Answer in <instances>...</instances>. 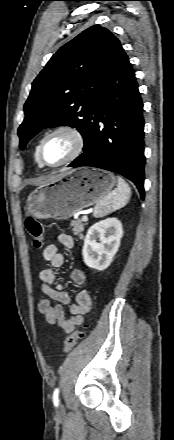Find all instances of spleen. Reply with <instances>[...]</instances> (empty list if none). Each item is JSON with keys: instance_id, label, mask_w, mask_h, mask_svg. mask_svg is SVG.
Returning <instances> with one entry per match:
<instances>
[{"instance_id": "spleen-1", "label": "spleen", "mask_w": 174, "mask_h": 440, "mask_svg": "<svg viewBox=\"0 0 174 440\" xmlns=\"http://www.w3.org/2000/svg\"><path fill=\"white\" fill-rule=\"evenodd\" d=\"M130 196V186L123 178L118 176L117 188L97 202L93 212L94 217L101 218L124 207L128 203Z\"/></svg>"}]
</instances>
